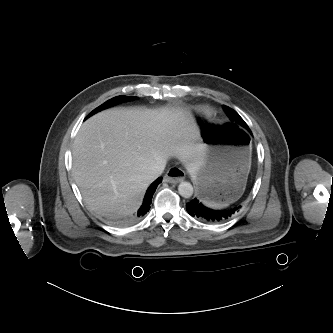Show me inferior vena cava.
Instances as JSON below:
<instances>
[{"mask_svg":"<svg viewBox=\"0 0 333 333\" xmlns=\"http://www.w3.org/2000/svg\"><path fill=\"white\" fill-rule=\"evenodd\" d=\"M165 166H166L165 160H161V161L157 162L155 165H153L147 169L145 178L149 179L151 181L155 180L157 177H159L163 173Z\"/></svg>","mask_w":333,"mask_h":333,"instance_id":"1","label":"inferior vena cava"}]
</instances>
